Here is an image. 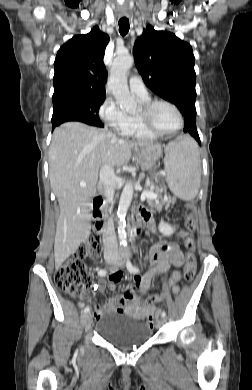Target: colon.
I'll use <instances>...</instances> for the list:
<instances>
[{
    "instance_id": "5ec220e1",
    "label": "colon",
    "mask_w": 252,
    "mask_h": 390,
    "mask_svg": "<svg viewBox=\"0 0 252 390\" xmlns=\"http://www.w3.org/2000/svg\"><path fill=\"white\" fill-rule=\"evenodd\" d=\"M184 247L188 251L186 264L184 267V278L192 281L196 273V258L193 251L196 248L193 231L196 226V218L189 214L185 219ZM101 253V238L98 233H92L74 252L73 257L57 267L55 281L57 286L71 296L80 295L89 285L90 279L87 274L85 264L86 258L98 257ZM119 273V272H118ZM160 295H151L147 299V304L155 303L160 299ZM150 326L153 325V315L147 318Z\"/></svg>"
}]
</instances>
